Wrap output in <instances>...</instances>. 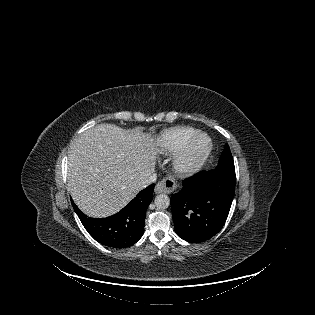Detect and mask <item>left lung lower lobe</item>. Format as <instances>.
Masks as SVG:
<instances>
[{
	"label": "left lung lower lobe",
	"mask_w": 315,
	"mask_h": 315,
	"mask_svg": "<svg viewBox=\"0 0 315 315\" xmlns=\"http://www.w3.org/2000/svg\"><path fill=\"white\" fill-rule=\"evenodd\" d=\"M235 169L202 171L182 182L171 196V210L177 235L190 242H204L223 227L235 193Z\"/></svg>",
	"instance_id": "1"
}]
</instances>
